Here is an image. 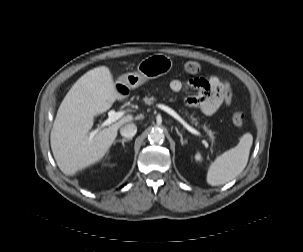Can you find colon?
<instances>
[{"mask_svg": "<svg viewBox=\"0 0 303 252\" xmlns=\"http://www.w3.org/2000/svg\"><path fill=\"white\" fill-rule=\"evenodd\" d=\"M183 70L188 74H200L203 70L202 65L197 61H186L183 64ZM245 117L241 112H235L232 115V123L236 128H242L244 126Z\"/></svg>", "mask_w": 303, "mask_h": 252, "instance_id": "obj_1", "label": "colon"}]
</instances>
